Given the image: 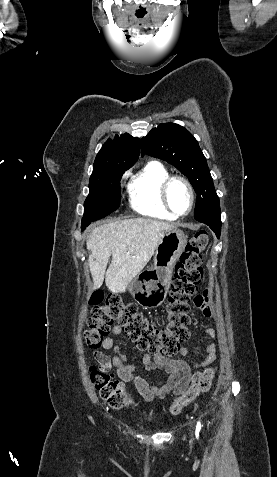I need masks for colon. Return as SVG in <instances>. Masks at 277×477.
Returning <instances> with one entry per match:
<instances>
[{
  "label": "colon",
  "instance_id": "1",
  "mask_svg": "<svg viewBox=\"0 0 277 477\" xmlns=\"http://www.w3.org/2000/svg\"><path fill=\"white\" fill-rule=\"evenodd\" d=\"M207 244V234L198 232L189 239L181 254L168 297L165 325L157 326L149 321L135 304L124 303L117 295L104 298L97 291L89 299L91 314L84 334L86 344L91 348L101 346L104 337L116 322L138 349L153 355H175L180 344L189 338L190 303L198 296V287L203 278L202 254ZM109 369L103 364L91 367L90 379L93 386L101 399L111 407L119 409L130 405V397ZM214 374V368L194 374L191 386L171 405V414H179L200 394L207 392Z\"/></svg>",
  "mask_w": 277,
  "mask_h": 477
}]
</instances>
